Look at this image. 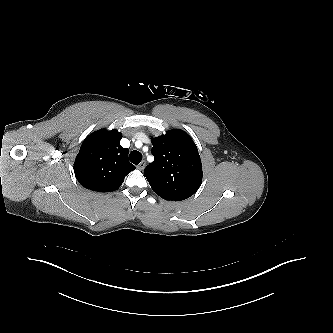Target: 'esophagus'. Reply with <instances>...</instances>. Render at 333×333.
Here are the masks:
<instances>
[{
  "label": "esophagus",
  "mask_w": 333,
  "mask_h": 333,
  "mask_svg": "<svg viewBox=\"0 0 333 333\" xmlns=\"http://www.w3.org/2000/svg\"><path fill=\"white\" fill-rule=\"evenodd\" d=\"M145 166H146V162H145V161H142V162H140V163L138 164L137 168H138L139 170H143V169L145 168Z\"/></svg>",
  "instance_id": "obj_1"
}]
</instances>
